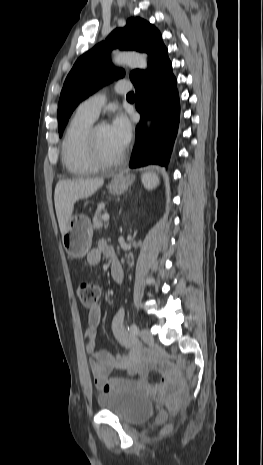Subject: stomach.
Segmentation results:
<instances>
[{"mask_svg": "<svg viewBox=\"0 0 263 465\" xmlns=\"http://www.w3.org/2000/svg\"><path fill=\"white\" fill-rule=\"evenodd\" d=\"M133 176L120 173L112 177L108 190L113 195L125 193L133 183ZM93 229L90 219L85 215L72 216L62 236V243L67 254L72 258H83L90 250Z\"/></svg>", "mask_w": 263, "mask_h": 465, "instance_id": "stomach-1", "label": "stomach"}]
</instances>
